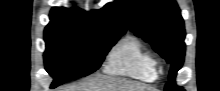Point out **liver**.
I'll use <instances>...</instances> for the list:
<instances>
[{"label": "liver", "mask_w": 220, "mask_h": 91, "mask_svg": "<svg viewBox=\"0 0 220 91\" xmlns=\"http://www.w3.org/2000/svg\"><path fill=\"white\" fill-rule=\"evenodd\" d=\"M59 91H152L150 87L121 78L95 76L79 85L62 88Z\"/></svg>", "instance_id": "obj_1"}]
</instances>
